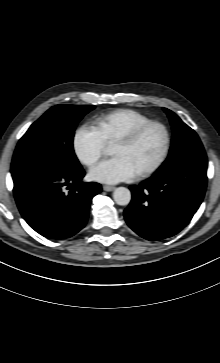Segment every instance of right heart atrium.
<instances>
[{"mask_svg":"<svg viewBox=\"0 0 220 363\" xmlns=\"http://www.w3.org/2000/svg\"><path fill=\"white\" fill-rule=\"evenodd\" d=\"M72 147L79 162L90 167L102 157L105 141L94 127L81 124L74 130Z\"/></svg>","mask_w":220,"mask_h":363,"instance_id":"d8ad5b80","label":"right heart atrium"}]
</instances>
